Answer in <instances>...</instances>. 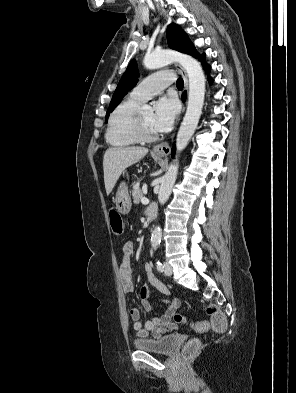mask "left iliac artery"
Masks as SVG:
<instances>
[{
    "label": "left iliac artery",
    "instance_id": "1",
    "mask_svg": "<svg viewBox=\"0 0 296 393\" xmlns=\"http://www.w3.org/2000/svg\"><path fill=\"white\" fill-rule=\"evenodd\" d=\"M153 248L156 250L158 248V244H153ZM156 267L158 271L163 272L164 266L159 260L156 261Z\"/></svg>",
    "mask_w": 296,
    "mask_h": 393
}]
</instances>
